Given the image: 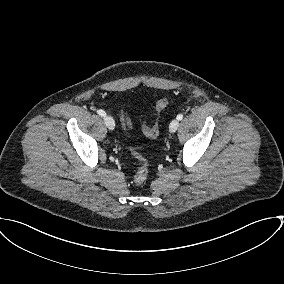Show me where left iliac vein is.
Instances as JSON below:
<instances>
[{"label":"left iliac vein","instance_id":"1","mask_svg":"<svg viewBox=\"0 0 284 284\" xmlns=\"http://www.w3.org/2000/svg\"><path fill=\"white\" fill-rule=\"evenodd\" d=\"M179 127V120L178 119H173L169 125V131L171 133H174L176 132V130L178 129Z\"/></svg>","mask_w":284,"mask_h":284}]
</instances>
